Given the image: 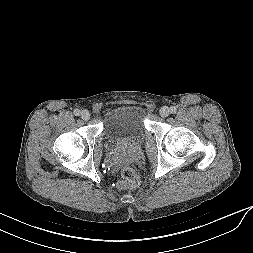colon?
Here are the masks:
<instances>
[{
    "mask_svg": "<svg viewBox=\"0 0 253 253\" xmlns=\"http://www.w3.org/2000/svg\"><path fill=\"white\" fill-rule=\"evenodd\" d=\"M121 182L120 185L126 188H136L139 184L138 176L135 170L131 167H124L121 170Z\"/></svg>",
    "mask_w": 253,
    "mask_h": 253,
    "instance_id": "1",
    "label": "colon"
}]
</instances>
